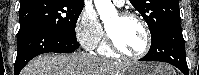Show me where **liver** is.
Listing matches in <instances>:
<instances>
[{
  "instance_id": "obj_1",
  "label": "liver",
  "mask_w": 199,
  "mask_h": 75,
  "mask_svg": "<svg viewBox=\"0 0 199 75\" xmlns=\"http://www.w3.org/2000/svg\"><path fill=\"white\" fill-rule=\"evenodd\" d=\"M128 64L103 61L84 52L44 54L34 58L20 75H123ZM175 75V72H169Z\"/></svg>"
}]
</instances>
